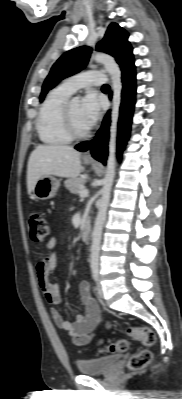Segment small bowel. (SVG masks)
Segmentation results:
<instances>
[{
  "mask_svg": "<svg viewBox=\"0 0 182 399\" xmlns=\"http://www.w3.org/2000/svg\"><path fill=\"white\" fill-rule=\"evenodd\" d=\"M55 238L46 243L48 250H53ZM58 261V254L52 251L41 258L36 265V275L39 288L49 304L57 305L61 301L59 286L49 280V275L54 272ZM83 311L77 313L73 321L65 320L57 308H51L50 314L54 324L69 333L73 342L79 346L89 345L96 328L101 324L102 317L98 306L90 293V284L81 281L78 286Z\"/></svg>",
  "mask_w": 182,
  "mask_h": 399,
  "instance_id": "c3829d8e",
  "label": "small bowel"
}]
</instances>
